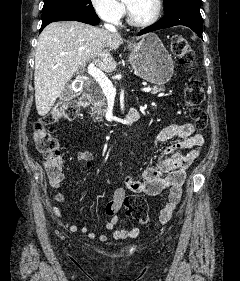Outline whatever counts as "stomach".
<instances>
[{"label":"stomach","instance_id":"1","mask_svg":"<svg viewBox=\"0 0 240 281\" xmlns=\"http://www.w3.org/2000/svg\"><path fill=\"white\" fill-rule=\"evenodd\" d=\"M130 50L129 62L137 75L156 85L171 79L174 63L157 35L144 36L139 43L131 45Z\"/></svg>","mask_w":240,"mask_h":281}]
</instances>
